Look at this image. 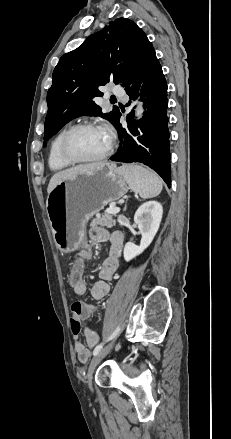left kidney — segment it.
<instances>
[{"mask_svg":"<svg viewBox=\"0 0 231 439\" xmlns=\"http://www.w3.org/2000/svg\"><path fill=\"white\" fill-rule=\"evenodd\" d=\"M163 208L157 201L142 204L134 215V222L142 235L140 245L127 242L124 247V259L128 262L141 254L153 241L162 219Z\"/></svg>","mask_w":231,"mask_h":439,"instance_id":"5707ae66","label":"left kidney"}]
</instances>
